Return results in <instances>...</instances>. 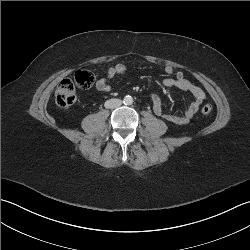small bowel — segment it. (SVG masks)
<instances>
[{
    "instance_id": "c3829d8e",
    "label": "small bowel",
    "mask_w": 250,
    "mask_h": 250,
    "mask_svg": "<svg viewBox=\"0 0 250 250\" xmlns=\"http://www.w3.org/2000/svg\"><path fill=\"white\" fill-rule=\"evenodd\" d=\"M127 73V67L124 64H116L108 67L107 69V78H101L96 82V89L100 92H109L111 86L108 82L109 79L114 78L115 76H124ZM164 73L166 78L162 80V85L167 88H177L179 90L189 92L194 97V101L185 109L183 114H167L164 113V104L162 99L156 93L151 94V101L153 105V111L157 116L162 117L164 120L176 124V125H185L188 124L191 119L199 111L201 104L206 99V94L204 90L187 78H185L183 72L177 71L174 72V69L171 66H166L164 68Z\"/></svg>"
}]
</instances>
